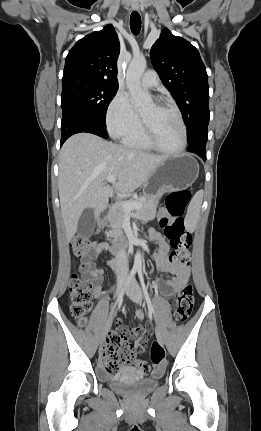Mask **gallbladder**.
I'll return each instance as SVG.
<instances>
[{
    "label": "gallbladder",
    "mask_w": 261,
    "mask_h": 431,
    "mask_svg": "<svg viewBox=\"0 0 261 431\" xmlns=\"http://www.w3.org/2000/svg\"><path fill=\"white\" fill-rule=\"evenodd\" d=\"M96 219L93 209H86L78 221L77 234L80 237H90L95 229Z\"/></svg>",
    "instance_id": "obj_1"
}]
</instances>
